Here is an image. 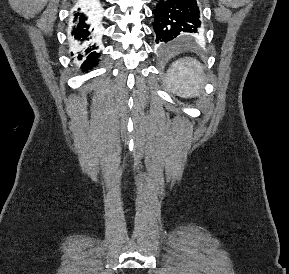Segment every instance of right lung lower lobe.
<instances>
[{"label": "right lung lower lobe", "mask_w": 289, "mask_h": 274, "mask_svg": "<svg viewBox=\"0 0 289 274\" xmlns=\"http://www.w3.org/2000/svg\"><path fill=\"white\" fill-rule=\"evenodd\" d=\"M86 12L88 13L86 14ZM73 17L72 35L80 45L84 44L85 49L83 55H78V59L81 60L83 57L82 69L90 70L96 65L100 55L95 51L96 27L99 18L97 14L86 7L76 8Z\"/></svg>", "instance_id": "1"}]
</instances>
